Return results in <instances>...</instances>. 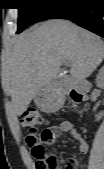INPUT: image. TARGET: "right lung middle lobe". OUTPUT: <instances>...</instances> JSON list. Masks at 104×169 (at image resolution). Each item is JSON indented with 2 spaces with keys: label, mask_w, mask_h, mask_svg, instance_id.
I'll return each instance as SVG.
<instances>
[{
  "label": "right lung middle lobe",
  "mask_w": 104,
  "mask_h": 169,
  "mask_svg": "<svg viewBox=\"0 0 104 169\" xmlns=\"http://www.w3.org/2000/svg\"><path fill=\"white\" fill-rule=\"evenodd\" d=\"M19 6L17 34L29 25L51 18L64 6L76 0H16Z\"/></svg>",
  "instance_id": "dd1d6c3e"
}]
</instances>
